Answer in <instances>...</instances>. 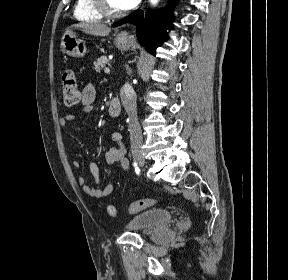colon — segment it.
I'll list each match as a JSON object with an SVG mask.
<instances>
[{
	"mask_svg": "<svg viewBox=\"0 0 288 280\" xmlns=\"http://www.w3.org/2000/svg\"><path fill=\"white\" fill-rule=\"evenodd\" d=\"M62 82V96L64 105L69 108L75 107L80 101V93L78 90V83L75 73L72 70H66L63 73ZM156 203L157 200L153 198L138 200L130 204L129 212L132 214L137 213L145 208L155 205ZM107 213L110 217H115L117 215L115 206L109 205L107 207Z\"/></svg>",
	"mask_w": 288,
	"mask_h": 280,
	"instance_id": "obj_1",
	"label": "colon"
}]
</instances>
